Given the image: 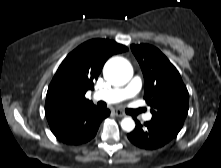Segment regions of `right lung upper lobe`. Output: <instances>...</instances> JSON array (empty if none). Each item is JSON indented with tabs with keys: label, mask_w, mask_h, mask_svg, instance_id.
<instances>
[{
	"label": "right lung upper lobe",
	"mask_w": 221,
	"mask_h": 168,
	"mask_svg": "<svg viewBox=\"0 0 221 168\" xmlns=\"http://www.w3.org/2000/svg\"><path fill=\"white\" fill-rule=\"evenodd\" d=\"M127 50L126 46L108 39L89 40L73 50L61 63L48 87L46 117L94 106L85 98V93L94 89V82L108 58Z\"/></svg>",
	"instance_id": "right-lung-upper-lobe-1"
}]
</instances>
